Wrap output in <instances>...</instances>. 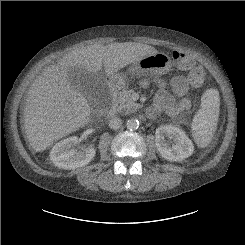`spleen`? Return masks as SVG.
I'll return each mask as SVG.
<instances>
[{"mask_svg": "<svg viewBox=\"0 0 245 245\" xmlns=\"http://www.w3.org/2000/svg\"><path fill=\"white\" fill-rule=\"evenodd\" d=\"M220 111V97L216 89H208L201 97L200 109L194 116L192 132L195 142L206 147L216 131Z\"/></svg>", "mask_w": 245, "mask_h": 245, "instance_id": "obj_1", "label": "spleen"}]
</instances>
